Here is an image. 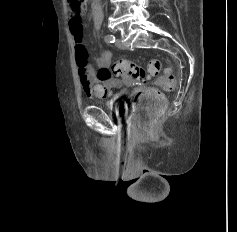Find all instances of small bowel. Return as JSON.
I'll use <instances>...</instances> for the list:
<instances>
[{"label":"small bowel","instance_id":"1","mask_svg":"<svg viewBox=\"0 0 237 232\" xmlns=\"http://www.w3.org/2000/svg\"><path fill=\"white\" fill-rule=\"evenodd\" d=\"M92 16L96 29H99L102 22V10L95 7ZM69 28L74 39L75 57L83 91L90 98L102 99L112 96V91L121 86L120 80L110 72L112 52L110 50H104L95 59L97 66V70H95L88 64L89 55L84 45L80 12L74 10L70 12Z\"/></svg>","mask_w":237,"mask_h":232}]
</instances>
